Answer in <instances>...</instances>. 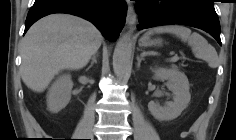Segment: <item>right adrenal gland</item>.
Listing matches in <instances>:
<instances>
[{"mask_svg": "<svg viewBox=\"0 0 236 140\" xmlns=\"http://www.w3.org/2000/svg\"><path fill=\"white\" fill-rule=\"evenodd\" d=\"M97 56H98V53L93 54L92 61L90 63L89 68H91L94 65V63H97Z\"/></svg>", "mask_w": 236, "mask_h": 140, "instance_id": "1", "label": "right adrenal gland"}]
</instances>
